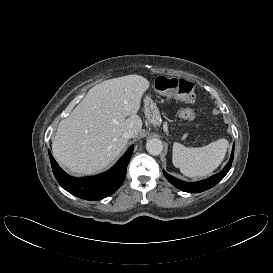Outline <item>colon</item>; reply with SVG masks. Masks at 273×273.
<instances>
[{"instance_id": "obj_1", "label": "colon", "mask_w": 273, "mask_h": 273, "mask_svg": "<svg viewBox=\"0 0 273 273\" xmlns=\"http://www.w3.org/2000/svg\"><path fill=\"white\" fill-rule=\"evenodd\" d=\"M156 87L161 93L180 99L187 104L195 102L194 85L187 80L159 77L156 81ZM179 116L185 120H193L195 113L192 109L184 107L179 111Z\"/></svg>"}]
</instances>
